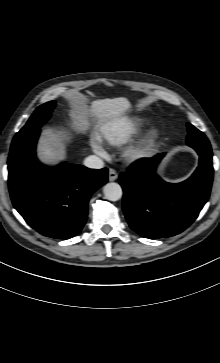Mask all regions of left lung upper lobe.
Wrapping results in <instances>:
<instances>
[{
    "label": "left lung upper lobe",
    "mask_w": 220,
    "mask_h": 363,
    "mask_svg": "<svg viewBox=\"0 0 220 363\" xmlns=\"http://www.w3.org/2000/svg\"><path fill=\"white\" fill-rule=\"evenodd\" d=\"M187 130L189 133L187 136V142L209 143L206 136L192 124L187 123Z\"/></svg>",
    "instance_id": "left-lung-upper-lobe-1"
}]
</instances>
